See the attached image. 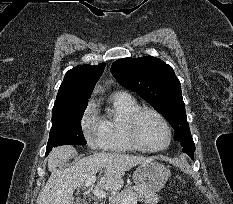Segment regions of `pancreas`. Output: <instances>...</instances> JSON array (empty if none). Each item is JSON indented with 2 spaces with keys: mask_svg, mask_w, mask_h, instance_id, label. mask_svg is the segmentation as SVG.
<instances>
[{
  "mask_svg": "<svg viewBox=\"0 0 233 204\" xmlns=\"http://www.w3.org/2000/svg\"><path fill=\"white\" fill-rule=\"evenodd\" d=\"M132 198L145 204H157L159 201V197L155 192L143 187L133 186L122 190L109 204H121L122 200Z\"/></svg>",
  "mask_w": 233,
  "mask_h": 204,
  "instance_id": "1",
  "label": "pancreas"
}]
</instances>
